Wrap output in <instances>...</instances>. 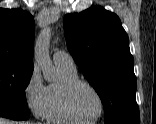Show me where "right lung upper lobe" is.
Returning a JSON list of instances; mask_svg holds the SVG:
<instances>
[{"mask_svg":"<svg viewBox=\"0 0 156 124\" xmlns=\"http://www.w3.org/2000/svg\"><path fill=\"white\" fill-rule=\"evenodd\" d=\"M34 29L30 13L0 8V64L33 68Z\"/></svg>","mask_w":156,"mask_h":124,"instance_id":"cb5924a9","label":"right lung upper lobe"}]
</instances>
